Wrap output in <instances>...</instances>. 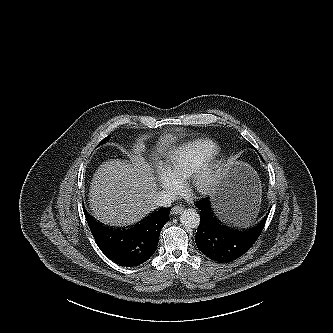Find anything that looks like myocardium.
I'll use <instances>...</instances> for the list:
<instances>
[{"label": "myocardium", "mask_w": 333, "mask_h": 333, "mask_svg": "<svg viewBox=\"0 0 333 333\" xmlns=\"http://www.w3.org/2000/svg\"><path fill=\"white\" fill-rule=\"evenodd\" d=\"M221 174L210 162L196 169L188 178V187L198 194H208L219 184Z\"/></svg>", "instance_id": "obj_1"}]
</instances>
